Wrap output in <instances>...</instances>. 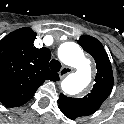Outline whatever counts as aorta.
Wrapping results in <instances>:
<instances>
[{"label":"aorta","instance_id":"1","mask_svg":"<svg viewBox=\"0 0 124 124\" xmlns=\"http://www.w3.org/2000/svg\"><path fill=\"white\" fill-rule=\"evenodd\" d=\"M59 59L75 69L61 83L62 90L70 95L81 93L91 82V69L83 50L75 42H64L58 49Z\"/></svg>","mask_w":124,"mask_h":124}]
</instances>
